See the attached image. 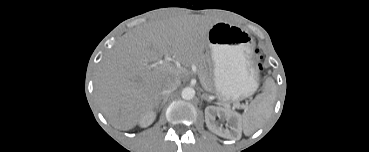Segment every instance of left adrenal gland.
<instances>
[{
    "mask_svg": "<svg viewBox=\"0 0 369 152\" xmlns=\"http://www.w3.org/2000/svg\"><path fill=\"white\" fill-rule=\"evenodd\" d=\"M201 99H203V100H206V101H210L209 99H208V97L205 95V94H203L202 96H201Z\"/></svg>",
    "mask_w": 369,
    "mask_h": 152,
    "instance_id": "obj_1",
    "label": "left adrenal gland"
}]
</instances>
